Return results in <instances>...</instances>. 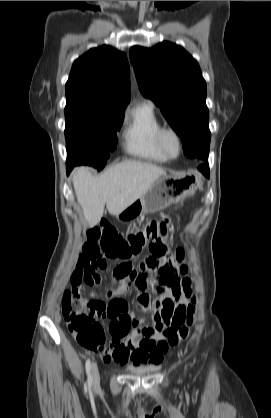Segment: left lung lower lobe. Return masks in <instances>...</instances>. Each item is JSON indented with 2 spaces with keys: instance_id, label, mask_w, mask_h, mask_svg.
<instances>
[{
  "instance_id": "1",
  "label": "left lung lower lobe",
  "mask_w": 271,
  "mask_h": 418,
  "mask_svg": "<svg viewBox=\"0 0 271 418\" xmlns=\"http://www.w3.org/2000/svg\"><path fill=\"white\" fill-rule=\"evenodd\" d=\"M199 169L207 176H209V166L208 164H204L202 166L199 167Z\"/></svg>"
}]
</instances>
